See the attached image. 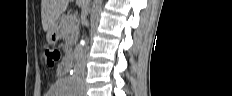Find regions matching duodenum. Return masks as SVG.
Wrapping results in <instances>:
<instances>
[{
    "mask_svg": "<svg viewBox=\"0 0 232 96\" xmlns=\"http://www.w3.org/2000/svg\"><path fill=\"white\" fill-rule=\"evenodd\" d=\"M73 66H74V57L72 54H70L67 58V61L62 65V71L67 72Z\"/></svg>",
    "mask_w": 232,
    "mask_h": 96,
    "instance_id": "duodenum-1",
    "label": "duodenum"
}]
</instances>
